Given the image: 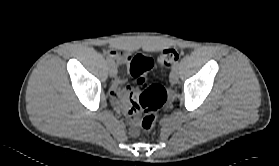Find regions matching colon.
I'll return each instance as SVG.
<instances>
[{
  "label": "colon",
  "instance_id": "obj_1",
  "mask_svg": "<svg viewBox=\"0 0 279 166\" xmlns=\"http://www.w3.org/2000/svg\"><path fill=\"white\" fill-rule=\"evenodd\" d=\"M179 57L177 50L168 48L159 54L157 60L161 65L168 67L178 61ZM154 62L153 57L139 54L132 58L129 65L130 73L142 88L141 93L137 96V102L140 103V109L143 111L140 128L144 135L149 134L154 128L157 112L167 99L164 87L148 82L147 73L154 66Z\"/></svg>",
  "mask_w": 279,
  "mask_h": 166
}]
</instances>
